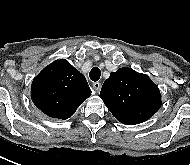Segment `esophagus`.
<instances>
[{
  "mask_svg": "<svg viewBox=\"0 0 190 165\" xmlns=\"http://www.w3.org/2000/svg\"><path fill=\"white\" fill-rule=\"evenodd\" d=\"M93 89L98 93L101 90V83L100 82H94L93 83Z\"/></svg>",
  "mask_w": 190,
  "mask_h": 165,
  "instance_id": "esophagus-1",
  "label": "esophagus"
}]
</instances>
